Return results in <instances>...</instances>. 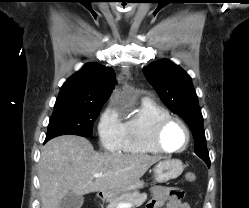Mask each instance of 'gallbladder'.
Wrapping results in <instances>:
<instances>
[{
    "mask_svg": "<svg viewBox=\"0 0 249 208\" xmlns=\"http://www.w3.org/2000/svg\"><path fill=\"white\" fill-rule=\"evenodd\" d=\"M83 202L84 198L82 195L70 191L62 198L59 208H81Z\"/></svg>",
    "mask_w": 249,
    "mask_h": 208,
    "instance_id": "1",
    "label": "gallbladder"
}]
</instances>
